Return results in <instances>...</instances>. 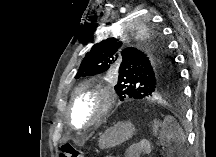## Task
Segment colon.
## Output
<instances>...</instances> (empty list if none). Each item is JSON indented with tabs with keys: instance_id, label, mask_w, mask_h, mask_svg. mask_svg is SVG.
Masks as SVG:
<instances>
[{
	"instance_id": "obj_1",
	"label": "colon",
	"mask_w": 216,
	"mask_h": 157,
	"mask_svg": "<svg viewBox=\"0 0 216 157\" xmlns=\"http://www.w3.org/2000/svg\"><path fill=\"white\" fill-rule=\"evenodd\" d=\"M60 157H82L81 153L70 144L61 147Z\"/></svg>"
}]
</instances>
